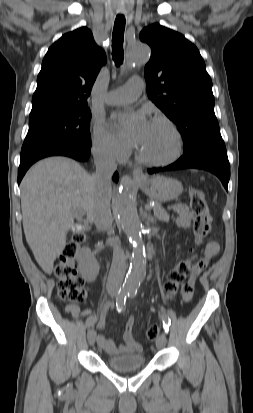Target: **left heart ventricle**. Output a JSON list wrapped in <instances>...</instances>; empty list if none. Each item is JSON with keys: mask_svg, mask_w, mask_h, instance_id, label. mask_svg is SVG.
I'll use <instances>...</instances> for the list:
<instances>
[{"mask_svg": "<svg viewBox=\"0 0 253 413\" xmlns=\"http://www.w3.org/2000/svg\"><path fill=\"white\" fill-rule=\"evenodd\" d=\"M138 148L150 158L164 159L173 153L175 142L166 125L151 122Z\"/></svg>", "mask_w": 253, "mask_h": 413, "instance_id": "b2bd125f", "label": "left heart ventricle"}]
</instances>
